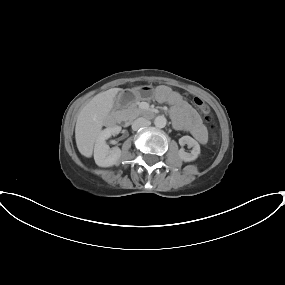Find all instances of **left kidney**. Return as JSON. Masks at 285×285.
Instances as JSON below:
<instances>
[{
	"instance_id": "1",
	"label": "left kidney",
	"mask_w": 285,
	"mask_h": 285,
	"mask_svg": "<svg viewBox=\"0 0 285 285\" xmlns=\"http://www.w3.org/2000/svg\"><path fill=\"white\" fill-rule=\"evenodd\" d=\"M179 144L181 146L187 144L190 148H192L191 153L185 152L184 149L179 150L178 154L181 160H183L184 162H191L198 158V155L200 154V145L192 137L190 136L181 137L179 139Z\"/></svg>"
}]
</instances>
